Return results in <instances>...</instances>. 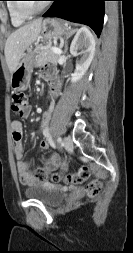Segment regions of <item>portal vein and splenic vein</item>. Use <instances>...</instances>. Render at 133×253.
Listing matches in <instances>:
<instances>
[{"label": "portal vein and splenic vein", "instance_id": "18ae733b", "mask_svg": "<svg viewBox=\"0 0 133 253\" xmlns=\"http://www.w3.org/2000/svg\"><path fill=\"white\" fill-rule=\"evenodd\" d=\"M52 50L56 54H59V55L62 54V50L60 48L53 47Z\"/></svg>", "mask_w": 133, "mask_h": 253}]
</instances>
